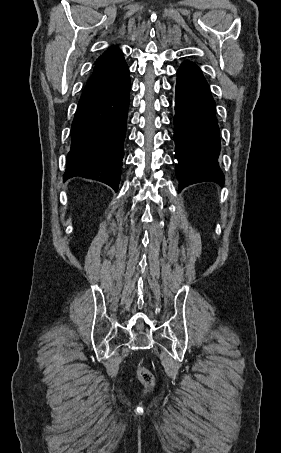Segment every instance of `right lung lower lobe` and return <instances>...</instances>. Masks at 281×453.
Listing matches in <instances>:
<instances>
[{"label":"right lung lower lobe","instance_id":"98d812e1","mask_svg":"<svg viewBox=\"0 0 281 453\" xmlns=\"http://www.w3.org/2000/svg\"><path fill=\"white\" fill-rule=\"evenodd\" d=\"M130 88L121 51L95 65L72 122L64 180L80 176L118 190Z\"/></svg>","mask_w":281,"mask_h":453}]
</instances>
